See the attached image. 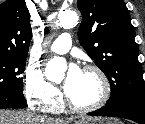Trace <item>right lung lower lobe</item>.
<instances>
[{
	"label": "right lung lower lobe",
	"instance_id": "98d812e1",
	"mask_svg": "<svg viewBox=\"0 0 145 124\" xmlns=\"http://www.w3.org/2000/svg\"><path fill=\"white\" fill-rule=\"evenodd\" d=\"M27 107L22 91H0V109Z\"/></svg>",
	"mask_w": 145,
	"mask_h": 124
}]
</instances>
